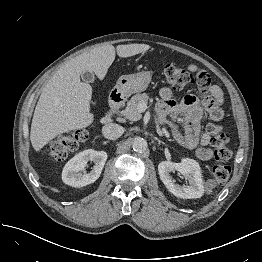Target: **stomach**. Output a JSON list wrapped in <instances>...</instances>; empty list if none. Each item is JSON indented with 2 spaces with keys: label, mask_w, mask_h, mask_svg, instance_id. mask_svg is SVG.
I'll use <instances>...</instances> for the list:
<instances>
[{
  "label": "stomach",
  "mask_w": 262,
  "mask_h": 262,
  "mask_svg": "<svg viewBox=\"0 0 262 262\" xmlns=\"http://www.w3.org/2000/svg\"><path fill=\"white\" fill-rule=\"evenodd\" d=\"M152 79L151 71H141L136 74L122 75L115 86L117 92L123 96L145 91Z\"/></svg>",
  "instance_id": "1"
}]
</instances>
